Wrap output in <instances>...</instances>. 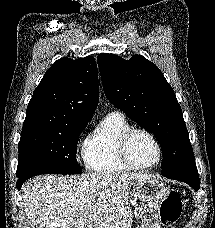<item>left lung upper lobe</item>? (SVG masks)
Returning <instances> with one entry per match:
<instances>
[{"instance_id": "1", "label": "left lung upper lobe", "mask_w": 215, "mask_h": 228, "mask_svg": "<svg viewBox=\"0 0 215 228\" xmlns=\"http://www.w3.org/2000/svg\"><path fill=\"white\" fill-rule=\"evenodd\" d=\"M97 61L108 100L158 140L162 175L196 165L181 107L159 68L141 55L99 54Z\"/></svg>"}]
</instances>
